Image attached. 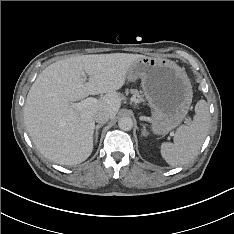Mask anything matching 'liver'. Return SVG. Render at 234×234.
<instances>
[{"instance_id": "6515ba94", "label": "liver", "mask_w": 234, "mask_h": 234, "mask_svg": "<svg viewBox=\"0 0 234 234\" xmlns=\"http://www.w3.org/2000/svg\"><path fill=\"white\" fill-rule=\"evenodd\" d=\"M143 57L127 53L72 56L46 67L24 105V123L39 152L60 165L85 161L93 150L95 113L105 110L115 117L122 100L117 90L124 85L130 66ZM96 94L105 96L82 110L71 107V102Z\"/></svg>"}]
</instances>
